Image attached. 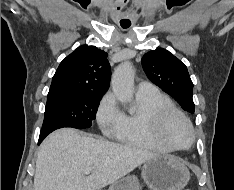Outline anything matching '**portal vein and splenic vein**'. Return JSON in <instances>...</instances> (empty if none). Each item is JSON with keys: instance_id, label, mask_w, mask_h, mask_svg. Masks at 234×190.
I'll return each mask as SVG.
<instances>
[{"instance_id": "portal-vein-and-splenic-vein-1", "label": "portal vein and splenic vein", "mask_w": 234, "mask_h": 190, "mask_svg": "<svg viewBox=\"0 0 234 190\" xmlns=\"http://www.w3.org/2000/svg\"><path fill=\"white\" fill-rule=\"evenodd\" d=\"M91 171H92V168H87L84 170V174L88 175L89 173H91Z\"/></svg>"}]
</instances>
